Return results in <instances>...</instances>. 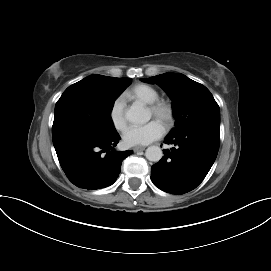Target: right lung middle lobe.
Here are the masks:
<instances>
[{
    "label": "right lung middle lobe",
    "instance_id": "dd1d6c3e",
    "mask_svg": "<svg viewBox=\"0 0 271 271\" xmlns=\"http://www.w3.org/2000/svg\"><path fill=\"white\" fill-rule=\"evenodd\" d=\"M130 83V78L92 75L69 86L55 106L53 144L85 132H116L110 112Z\"/></svg>",
    "mask_w": 271,
    "mask_h": 271
}]
</instances>
